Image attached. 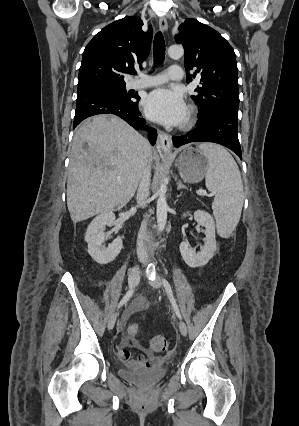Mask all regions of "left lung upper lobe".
<instances>
[{"mask_svg": "<svg viewBox=\"0 0 299 426\" xmlns=\"http://www.w3.org/2000/svg\"><path fill=\"white\" fill-rule=\"evenodd\" d=\"M175 35L185 49L187 82L200 76L202 87L192 99L200 106V115L222 112L238 120L239 92L237 64L231 45L214 29L187 18ZM195 70L190 75L189 71Z\"/></svg>", "mask_w": 299, "mask_h": 426, "instance_id": "5c2ea615", "label": "left lung upper lobe"}]
</instances>
